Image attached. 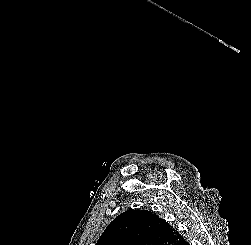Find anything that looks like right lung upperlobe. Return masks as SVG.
Returning a JSON list of instances; mask_svg holds the SVG:
<instances>
[{"label": "right lung upper lobe", "instance_id": "cb5924a9", "mask_svg": "<svg viewBox=\"0 0 251 245\" xmlns=\"http://www.w3.org/2000/svg\"><path fill=\"white\" fill-rule=\"evenodd\" d=\"M182 236L146 210H128L105 229L96 245H176Z\"/></svg>", "mask_w": 251, "mask_h": 245}]
</instances>
